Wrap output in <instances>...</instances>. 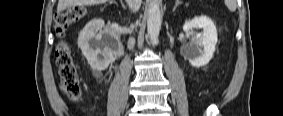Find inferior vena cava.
<instances>
[{"label":"inferior vena cava","mask_w":283,"mask_h":116,"mask_svg":"<svg viewBox=\"0 0 283 116\" xmlns=\"http://www.w3.org/2000/svg\"><path fill=\"white\" fill-rule=\"evenodd\" d=\"M127 2L132 12H136L139 10L142 1L141 0H127Z\"/></svg>","instance_id":"inferior-vena-cava-1"}]
</instances>
